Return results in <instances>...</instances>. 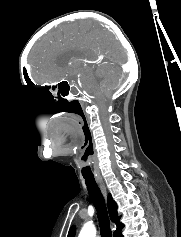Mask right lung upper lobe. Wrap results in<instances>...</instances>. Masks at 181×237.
<instances>
[{"label":"right lung upper lobe","instance_id":"right-lung-upper-lobe-1","mask_svg":"<svg viewBox=\"0 0 181 237\" xmlns=\"http://www.w3.org/2000/svg\"><path fill=\"white\" fill-rule=\"evenodd\" d=\"M107 204L111 221L117 224V229L114 232V237H123V235L121 234V230L124 227V225L122 223H119V217L117 215V204L112 199L111 194L108 195ZM74 235H75V227H72L69 230L68 237H74Z\"/></svg>","mask_w":181,"mask_h":237}]
</instances>
